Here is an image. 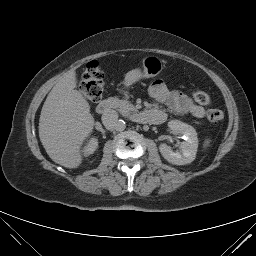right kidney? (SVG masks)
<instances>
[{"label":"right kidney","instance_id":"obj_1","mask_svg":"<svg viewBox=\"0 0 256 256\" xmlns=\"http://www.w3.org/2000/svg\"><path fill=\"white\" fill-rule=\"evenodd\" d=\"M98 146L97 139L91 138L87 146L84 147V155H90L92 154Z\"/></svg>","mask_w":256,"mask_h":256}]
</instances>
